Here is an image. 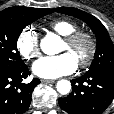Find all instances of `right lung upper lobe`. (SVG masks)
<instances>
[{
    "label": "right lung upper lobe",
    "instance_id": "1",
    "mask_svg": "<svg viewBox=\"0 0 114 114\" xmlns=\"http://www.w3.org/2000/svg\"><path fill=\"white\" fill-rule=\"evenodd\" d=\"M38 8H30V7H24V6H15L11 8H7L0 12V15H20L27 12L35 11Z\"/></svg>",
    "mask_w": 114,
    "mask_h": 114
}]
</instances>
